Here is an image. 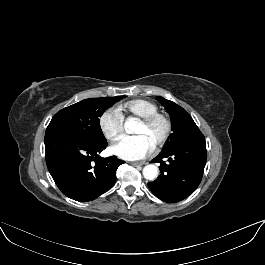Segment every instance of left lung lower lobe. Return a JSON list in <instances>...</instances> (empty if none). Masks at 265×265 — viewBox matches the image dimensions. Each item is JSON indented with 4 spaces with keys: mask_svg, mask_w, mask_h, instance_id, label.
Returning <instances> with one entry per match:
<instances>
[{
    "mask_svg": "<svg viewBox=\"0 0 265 265\" xmlns=\"http://www.w3.org/2000/svg\"><path fill=\"white\" fill-rule=\"evenodd\" d=\"M207 160L203 135L180 142L152 160L160 163L161 174L148 183L160 200L176 203L188 197L200 184Z\"/></svg>",
    "mask_w": 265,
    "mask_h": 265,
    "instance_id": "left-lung-lower-lobe-1",
    "label": "left lung lower lobe"
}]
</instances>
